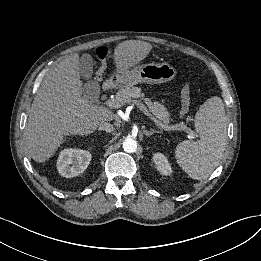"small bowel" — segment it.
Segmentation results:
<instances>
[{
  "instance_id": "obj_1",
  "label": "small bowel",
  "mask_w": 261,
  "mask_h": 261,
  "mask_svg": "<svg viewBox=\"0 0 261 261\" xmlns=\"http://www.w3.org/2000/svg\"><path fill=\"white\" fill-rule=\"evenodd\" d=\"M181 103H182V108L188 112L189 107H190V96H185L183 93L181 94Z\"/></svg>"
}]
</instances>
